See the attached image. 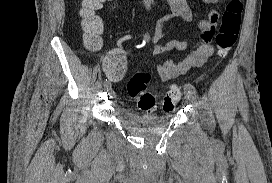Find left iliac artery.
<instances>
[{
	"mask_svg": "<svg viewBox=\"0 0 272 183\" xmlns=\"http://www.w3.org/2000/svg\"><path fill=\"white\" fill-rule=\"evenodd\" d=\"M185 89L188 91V93H192V94H196L197 93L196 89L193 86H191V85H186Z\"/></svg>",
	"mask_w": 272,
	"mask_h": 183,
	"instance_id": "44dca946",
	"label": "left iliac artery"
}]
</instances>
